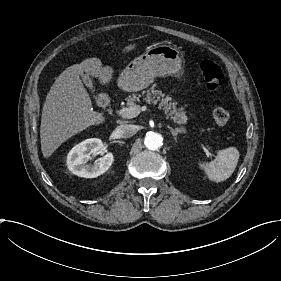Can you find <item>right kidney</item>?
Segmentation results:
<instances>
[{
  "mask_svg": "<svg viewBox=\"0 0 281 281\" xmlns=\"http://www.w3.org/2000/svg\"><path fill=\"white\" fill-rule=\"evenodd\" d=\"M103 149V143L99 138H89L76 144L70 149L66 157V165L73 174L93 178L106 172L112 164L113 156L107 154L103 158L95 160L92 165L86 164L90 159L89 151L99 152Z\"/></svg>",
  "mask_w": 281,
  "mask_h": 281,
  "instance_id": "ca27d5eb",
  "label": "right kidney"
}]
</instances>
